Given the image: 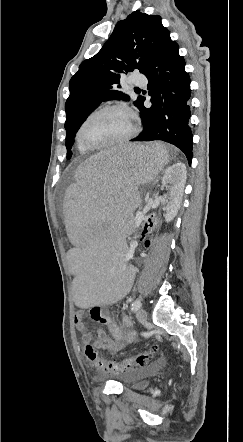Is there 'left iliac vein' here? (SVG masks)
<instances>
[{
  "mask_svg": "<svg viewBox=\"0 0 243 442\" xmlns=\"http://www.w3.org/2000/svg\"><path fill=\"white\" fill-rule=\"evenodd\" d=\"M136 318L137 320L144 324L147 321V312L143 308H139L136 312Z\"/></svg>",
  "mask_w": 243,
  "mask_h": 442,
  "instance_id": "1",
  "label": "left iliac vein"
}]
</instances>
